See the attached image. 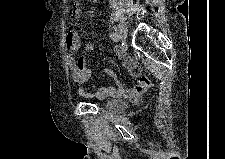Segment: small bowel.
Listing matches in <instances>:
<instances>
[{"mask_svg": "<svg viewBox=\"0 0 225 159\" xmlns=\"http://www.w3.org/2000/svg\"><path fill=\"white\" fill-rule=\"evenodd\" d=\"M81 15V4L76 2L70 8V17L73 22H76ZM65 43L67 48L70 51V70L73 81L78 85H84L90 81L93 75L91 68L87 66V59L85 55L92 53L95 50V44L93 42H87L84 46V55L80 56L78 59H75V55L78 53L81 47V41L79 34L76 29L71 28L67 31L65 37ZM116 53L121 58L123 64L130 69H134L135 65L127 56L125 51L121 48L115 49ZM109 76L116 80V75L111 71H106ZM149 85V80L145 77L138 79L137 83L134 86L128 87L126 90H123L119 86L111 87H98L93 91V95L99 98L106 97H116L121 96L124 92L129 95H137L144 92ZM80 95L87 96L88 94L83 90L79 91Z\"/></svg>", "mask_w": 225, "mask_h": 159, "instance_id": "obj_1", "label": "small bowel"}]
</instances>
